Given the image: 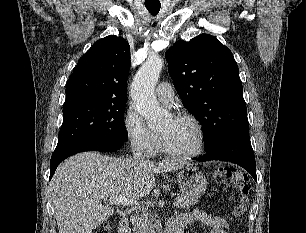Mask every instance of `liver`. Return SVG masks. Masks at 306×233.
<instances>
[{"label":"liver","mask_w":306,"mask_h":233,"mask_svg":"<svg viewBox=\"0 0 306 233\" xmlns=\"http://www.w3.org/2000/svg\"><path fill=\"white\" fill-rule=\"evenodd\" d=\"M184 166L182 160L154 163L96 152L68 158L50 182L59 233H92L114 213L113 208L102 204V199L120 194L132 200L145 197L154 187V173Z\"/></svg>","instance_id":"liver-1"}]
</instances>
